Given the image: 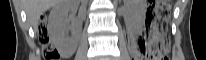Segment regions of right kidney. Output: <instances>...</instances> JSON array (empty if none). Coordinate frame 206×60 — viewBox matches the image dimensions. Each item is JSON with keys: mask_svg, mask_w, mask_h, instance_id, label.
Wrapping results in <instances>:
<instances>
[{"mask_svg": "<svg viewBox=\"0 0 206 60\" xmlns=\"http://www.w3.org/2000/svg\"><path fill=\"white\" fill-rule=\"evenodd\" d=\"M75 12V5L72 2H62L56 5L50 13V33L52 40L61 50L72 49L76 46L80 33V24L73 20L72 25H68V13ZM68 30L72 31V36L67 35Z\"/></svg>", "mask_w": 206, "mask_h": 60, "instance_id": "1", "label": "right kidney"}]
</instances>
